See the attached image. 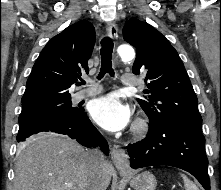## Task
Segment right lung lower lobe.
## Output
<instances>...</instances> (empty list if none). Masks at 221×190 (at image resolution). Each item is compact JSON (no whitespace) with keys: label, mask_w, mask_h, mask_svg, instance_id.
<instances>
[{"label":"right lung lower lobe","mask_w":221,"mask_h":190,"mask_svg":"<svg viewBox=\"0 0 221 190\" xmlns=\"http://www.w3.org/2000/svg\"><path fill=\"white\" fill-rule=\"evenodd\" d=\"M39 132H54L64 134L72 139H75L81 145L86 147L101 146L103 152L108 155L109 148L106 140L102 137L99 131L93 126L84 109H81L79 114L69 121H49L41 125L32 127L17 135V141H25L31 135Z\"/></svg>","instance_id":"1"}]
</instances>
